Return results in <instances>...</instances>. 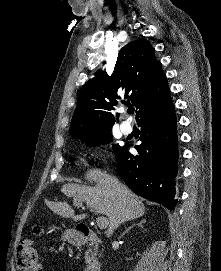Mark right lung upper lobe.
Segmentation results:
<instances>
[{
	"label": "right lung upper lobe",
	"mask_w": 221,
	"mask_h": 271,
	"mask_svg": "<svg viewBox=\"0 0 221 271\" xmlns=\"http://www.w3.org/2000/svg\"><path fill=\"white\" fill-rule=\"evenodd\" d=\"M95 75L80 92L69 131L73 138L110 130L115 122L111 111L120 95L127 99L122 103L138 109L137 121L171 101L161 63L146 39L132 41L119 51L111 76L103 71Z\"/></svg>",
	"instance_id": "obj_1"
}]
</instances>
